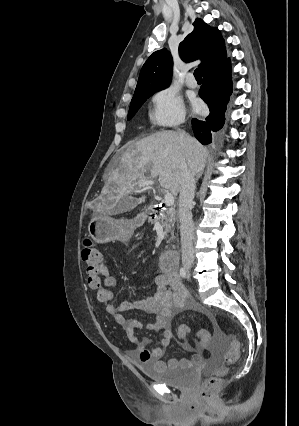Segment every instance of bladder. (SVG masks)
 Segmentation results:
<instances>
[{
  "mask_svg": "<svg viewBox=\"0 0 299 426\" xmlns=\"http://www.w3.org/2000/svg\"><path fill=\"white\" fill-rule=\"evenodd\" d=\"M138 366L149 379L181 390L191 388L197 380L195 370L190 368L159 369L153 364L145 362H138Z\"/></svg>",
  "mask_w": 299,
  "mask_h": 426,
  "instance_id": "bladder-1",
  "label": "bladder"
}]
</instances>
